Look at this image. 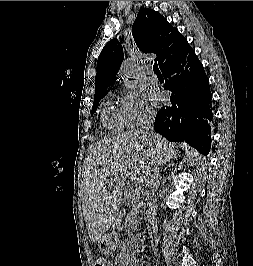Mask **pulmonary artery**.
<instances>
[{
  "label": "pulmonary artery",
  "mask_w": 253,
  "mask_h": 266,
  "mask_svg": "<svg viewBox=\"0 0 253 266\" xmlns=\"http://www.w3.org/2000/svg\"><path fill=\"white\" fill-rule=\"evenodd\" d=\"M145 76L149 81L153 83H156L158 81V78L151 67H147L145 69Z\"/></svg>",
  "instance_id": "obj_1"
}]
</instances>
